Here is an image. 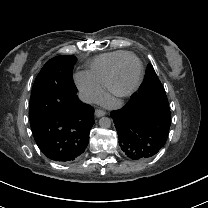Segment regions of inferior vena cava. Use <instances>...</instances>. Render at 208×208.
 <instances>
[{
    "label": "inferior vena cava",
    "mask_w": 208,
    "mask_h": 208,
    "mask_svg": "<svg viewBox=\"0 0 208 208\" xmlns=\"http://www.w3.org/2000/svg\"><path fill=\"white\" fill-rule=\"evenodd\" d=\"M79 98L85 103H93V95L86 91L79 92Z\"/></svg>",
    "instance_id": "1"
}]
</instances>
